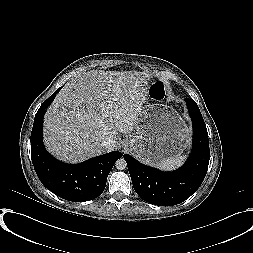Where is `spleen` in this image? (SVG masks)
I'll use <instances>...</instances> for the list:
<instances>
[{
    "label": "spleen",
    "mask_w": 253,
    "mask_h": 253,
    "mask_svg": "<svg viewBox=\"0 0 253 253\" xmlns=\"http://www.w3.org/2000/svg\"><path fill=\"white\" fill-rule=\"evenodd\" d=\"M186 159V155L170 158L158 163L156 166L163 170H172L183 164Z\"/></svg>",
    "instance_id": "obj_1"
}]
</instances>
